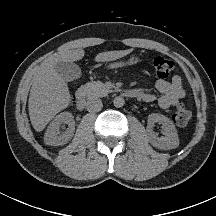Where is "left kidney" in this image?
<instances>
[{"label":"left kidney","instance_id":"5707ae66","mask_svg":"<svg viewBox=\"0 0 216 216\" xmlns=\"http://www.w3.org/2000/svg\"><path fill=\"white\" fill-rule=\"evenodd\" d=\"M154 123L162 124L164 137H157L155 135L152 130ZM147 133L151 145L158 149L170 150L179 146V138L175 125L164 115L152 113L148 116Z\"/></svg>","mask_w":216,"mask_h":216}]
</instances>
